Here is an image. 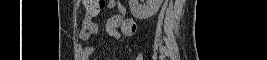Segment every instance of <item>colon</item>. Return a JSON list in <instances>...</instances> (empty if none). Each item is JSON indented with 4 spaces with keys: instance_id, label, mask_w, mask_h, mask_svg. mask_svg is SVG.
Here are the masks:
<instances>
[{
    "instance_id": "colon-1",
    "label": "colon",
    "mask_w": 267,
    "mask_h": 60,
    "mask_svg": "<svg viewBox=\"0 0 267 60\" xmlns=\"http://www.w3.org/2000/svg\"><path fill=\"white\" fill-rule=\"evenodd\" d=\"M84 6L86 11V16L88 17H95L98 16L101 12L104 11V0H85ZM136 27L135 24H131L130 28L134 30Z\"/></svg>"
}]
</instances>
